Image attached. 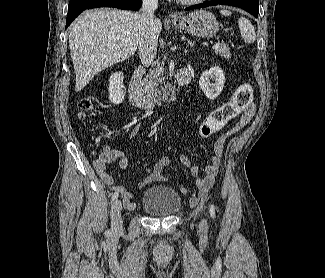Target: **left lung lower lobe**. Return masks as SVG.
Instances as JSON below:
<instances>
[{
	"mask_svg": "<svg viewBox=\"0 0 325 278\" xmlns=\"http://www.w3.org/2000/svg\"><path fill=\"white\" fill-rule=\"evenodd\" d=\"M214 5H230L242 8L252 14L254 17H258L259 5L258 0H212L210 2L205 1L201 4L194 5L192 7L186 8V10H193L198 8H204Z\"/></svg>",
	"mask_w": 325,
	"mask_h": 278,
	"instance_id": "obj_1",
	"label": "left lung lower lobe"
}]
</instances>
